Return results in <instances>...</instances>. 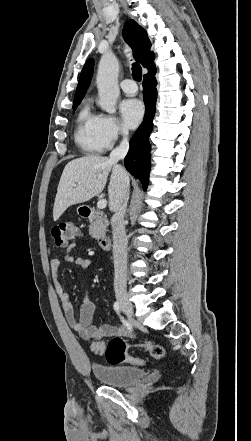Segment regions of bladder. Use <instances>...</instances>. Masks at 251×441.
I'll return each instance as SVG.
<instances>
[{"mask_svg": "<svg viewBox=\"0 0 251 441\" xmlns=\"http://www.w3.org/2000/svg\"><path fill=\"white\" fill-rule=\"evenodd\" d=\"M91 370L100 383L116 388L129 386L145 375L143 369L122 365L93 364Z\"/></svg>", "mask_w": 251, "mask_h": 441, "instance_id": "1", "label": "bladder"}]
</instances>
